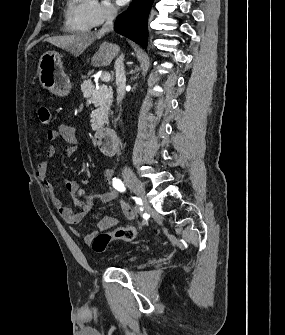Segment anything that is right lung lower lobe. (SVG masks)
<instances>
[{"label": "right lung lower lobe", "mask_w": 285, "mask_h": 335, "mask_svg": "<svg viewBox=\"0 0 285 335\" xmlns=\"http://www.w3.org/2000/svg\"><path fill=\"white\" fill-rule=\"evenodd\" d=\"M152 3L153 0H133L129 9L117 17L116 32L146 48L147 17Z\"/></svg>", "instance_id": "obj_1"}]
</instances>
